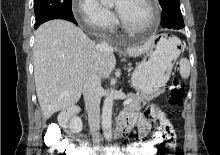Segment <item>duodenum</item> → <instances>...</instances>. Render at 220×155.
<instances>
[{"instance_id": "410a0bca", "label": "duodenum", "mask_w": 220, "mask_h": 155, "mask_svg": "<svg viewBox=\"0 0 220 155\" xmlns=\"http://www.w3.org/2000/svg\"><path fill=\"white\" fill-rule=\"evenodd\" d=\"M78 113V108L74 107V108H70L65 110L60 117V121L61 124L64 128H66L68 130V132H70V122L71 119ZM128 134V127L125 124L124 121H120L117 129H116V133H115V137L117 138H122L125 135ZM96 153V149H89L86 151L85 155H93Z\"/></svg>"}]
</instances>
